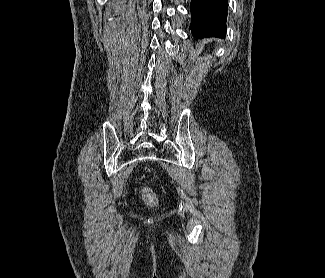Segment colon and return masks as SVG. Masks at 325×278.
Listing matches in <instances>:
<instances>
[{
  "mask_svg": "<svg viewBox=\"0 0 325 278\" xmlns=\"http://www.w3.org/2000/svg\"><path fill=\"white\" fill-rule=\"evenodd\" d=\"M146 195L149 197V199H152V194L150 192H146Z\"/></svg>",
  "mask_w": 325,
  "mask_h": 278,
  "instance_id": "colon-1",
  "label": "colon"
}]
</instances>
